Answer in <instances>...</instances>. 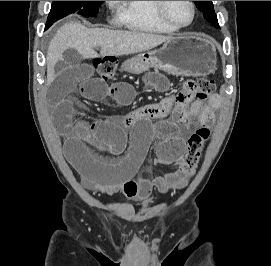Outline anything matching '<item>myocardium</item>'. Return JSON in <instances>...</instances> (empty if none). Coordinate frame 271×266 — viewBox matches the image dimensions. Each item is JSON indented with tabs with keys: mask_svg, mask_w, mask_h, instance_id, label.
<instances>
[{
	"mask_svg": "<svg viewBox=\"0 0 271 266\" xmlns=\"http://www.w3.org/2000/svg\"><path fill=\"white\" fill-rule=\"evenodd\" d=\"M154 2H155V9H156L157 15L173 29H176V30L185 29L191 26L196 18L197 9H196V4L194 3V1H188L192 9V16H191L190 21L185 25H179L170 19L165 9L166 1H154Z\"/></svg>",
	"mask_w": 271,
	"mask_h": 266,
	"instance_id": "obj_1",
	"label": "myocardium"
}]
</instances>
